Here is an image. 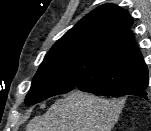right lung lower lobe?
Masks as SVG:
<instances>
[{
    "mask_svg": "<svg viewBox=\"0 0 151 131\" xmlns=\"http://www.w3.org/2000/svg\"><path fill=\"white\" fill-rule=\"evenodd\" d=\"M75 88H78L81 91L93 93L96 95H102V96H112V97H120L124 95H134L141 98H144L146 100H149L150 95L146 91L147 84H144L142 86H139L138 88L128 92V93H120L117 94L111 89H103L99 86V83L97 81H94L93 78H88V76H80L75 80Z\"/></svg>",
    "mask_w": 151,
    "mask_h": 131,
    "instance_id": "right-lung-lower-lobe-1",
    "label": "right lung lower lobe"
}]
</instances>
